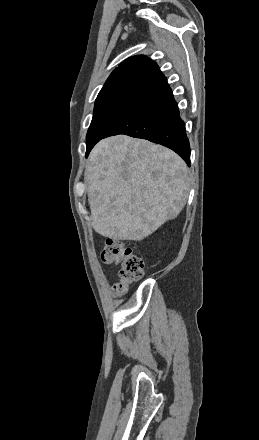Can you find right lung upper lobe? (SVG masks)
<instances>
[{
    "label": "right lung upper lobe",
    "mask_w": 259,
    "mask_h": 440,
    "mask_svg": "<svg viewBox=\"0 0 259 440\" xmlns=\"http://www.w3.org/2000/svg\"><path fill=\"white\" fill-rule=\"evenodd\" d=\"M164 78L156 62L144 55L122 62L109 76L98 97L119 92H148Z\"/></svg>",
    "instance_id": "1"
}]
</instances>
